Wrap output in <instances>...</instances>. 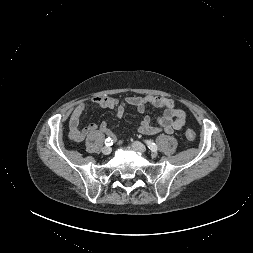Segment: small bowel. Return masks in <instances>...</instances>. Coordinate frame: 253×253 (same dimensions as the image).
I'll return each mask as SVG.
<instances>
[{
	"instance_id": "obj_1",
	"label": "small bowel",
	"mask_w": 253,
	"mask_h": 253,
	"mask_svg": "<svg viewBox=\"0 0 253 253\" xmlns=\"http://www.w3.org/2000/svg\"><path fill=\"white\" fill-rule=\"evenodd\" d=\"M91 103L102 108L115 110L117 117H122L125 106L130 105L137 109L139 113H144L146 105H152L163 110L158 118V126L151 125L149 116H145L138 128V132L142 135H155L160 132L171 134L174 131H181L186 122L185 112L176 107L174 101L164 97L147 95L129 96L123 100L116 99L110 96H98L91 99ZM86 102L79 103L72 111L69 119V138L76 142H82L89 134L96 131L98 128L104 134L113 137V133L106 122H102L99 126L91 123L83 128L80 127V117L85 111Z\"/></svg>"
}]
</instances>
